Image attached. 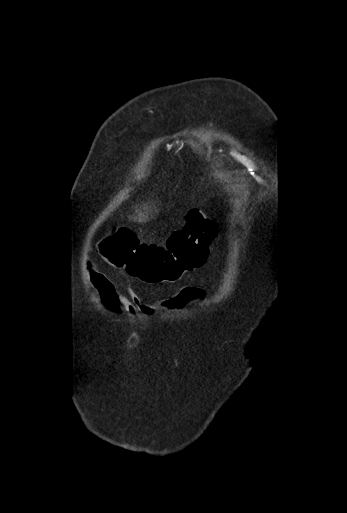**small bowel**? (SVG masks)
Here are the masks:
<instances>
[{"mask_svg": "<svg viewBox=\"0 0 347 513\" xmlns=\"http://www.w3.org/2000/svg\"><path fill=\"white\" fill-rule=\"evenodd\" d=\"M85 272L110 311H125L131 315H151L154 313L153 304L144 303L133 289H127L126 294L117 291L110 279L96 269L90 261L86 263ZM205 296V291L200 287L183 286L164 304L165 306H181L189 302H202Z\"/></svg>", "mask_w": 347, "mask_h": 513, "instance_id": "1", "label": "small bowel"}]
</instances>
